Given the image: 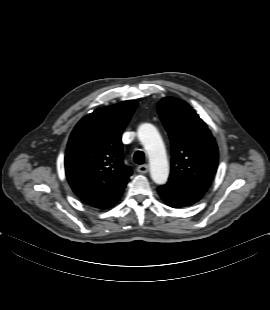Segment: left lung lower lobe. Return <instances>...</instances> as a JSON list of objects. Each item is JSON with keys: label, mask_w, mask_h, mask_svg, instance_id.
<instances>
[{"label": "left lung lower lobe", "mask_w": 270, "mask_h": 310, "mask_svg": "<svg viewBox=\"0 0 270 310\" xmlns=\"http://www.w3.org/2000/svg\"><path fill=\"white\" fill-rule=\"evenodd\" d=\"M206 191L203 188L183 186L171 181L158 187L162 200L173 208L193 205L202 198Z\"/></svg>", "instance_id": "left-lung-lower-lobe-1"}]
</instances>
